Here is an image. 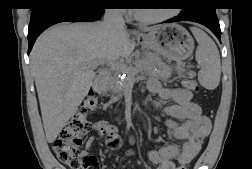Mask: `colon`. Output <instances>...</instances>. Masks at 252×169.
<instances>
[{"mask_svg": "<svg viewBox=\"0 0 252 169\" xmlns=\"http://www.w3.org/2000/svg\"><path fill=\"white\" fill-rule=\"evenodd\" d=\"M182 85L188 90L198 91V85L191 77H184ZM97 97L98 93L95 90L88 92L77 112L65 125L53 144V150L58 160L69 166L70 169H94L96 164L95 157L82 152L81 147L84 137L91 129L88 118L96 109ZM105 136L110 147L119 145L120 137L113 125L106 128ZM178 169H188V165L182 164Z\"/></svg>", "mask_w": 252, "mask_h": 169, "instance_id": "colon-1", "label": "colon"}]
</instances>
